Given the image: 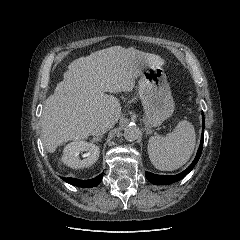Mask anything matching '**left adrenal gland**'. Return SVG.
Listing matches in <instances>:
<instances>
[{"label": "left adrenal gland", "instance_id": "a2214340", "mask_svg": "<svg viewBox=\"0 0 240 240\" xmlns=\"http://www.w3.org/2000/svg\"><path fill=\"white\" fill-rule=\"evenodd\" d=\"M145 130H146V134H150L151 129L148 127V125H145Z\"/></svg>", "mask_w": 240, "mask_h": 240}]
</instances>
